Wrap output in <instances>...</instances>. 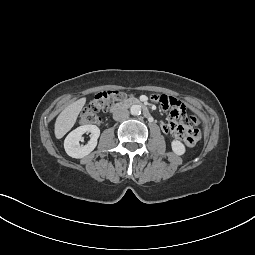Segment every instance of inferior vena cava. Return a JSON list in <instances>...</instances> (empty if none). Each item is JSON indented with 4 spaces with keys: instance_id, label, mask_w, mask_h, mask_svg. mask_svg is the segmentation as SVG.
I'll list each match as a JSON object with an SVG mask.
<instances>
[{
    "instance_id": "obj_1",
    "label": "inferior vena cava",
    "mask_w": 255,
    "mask_h": 255,
    "mask_svg": "<svg viewBox=\"0 0 255 255\" xmlns=\"http://www.w3.org/2000/svg\"><path fill=\"white\" fill-rule=\"evenodd\" d=\"M128 116H129V111L122 107L115 109L113 112V119L116 121L124 120L128 118Z\"/></svg>"
}]
</instances>
